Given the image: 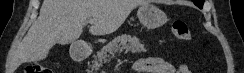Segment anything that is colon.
I'll list each match as a JSON object with an SVG mask.
<instances>
[{
	"label": "colon",
	"mask_w": 244,
	"mask_h": 73,
	"mask_svg": "<svg viewBox=\"0 0 244 73\" xmlns=\"http://www.w3.org/2000/svg\"><path fill=\"white\" fill-rule=\"evenodd\" d=\"M172 35L181 41L191 40V31L189 25L183 20H175L171 25ZM25 73H51L50 69L39 63H33L25 68Z\"/></svg>",
	"instance_id": "5ec220e1"
}]
</instances>
